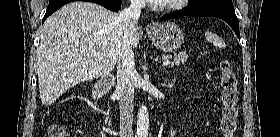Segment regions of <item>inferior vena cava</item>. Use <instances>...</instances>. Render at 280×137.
I'll list each match as a JSON object with an SVG mask.
<instances>
[{
    "label": "inferior vena cava",
    "mask_w": 280,
    "mask_h": 137,
    "mask_svg": "<svg viewBox=\"0 0 280 137\" xmlns=\"http://www.w3.org/2000/svg\"><path fill=\"white\" fill-rule=\"evenodd\" d=\"M145 5L143 0H131V5L123 9L120 20L123 23V40L117 62L116 94L120 105V132L119 137H133V98L135 73L134 53L129 36L136 28L141 8Z\"/></svg>",
    "instance_id": "inferior-vena-cava-1"
}]
</instances>
